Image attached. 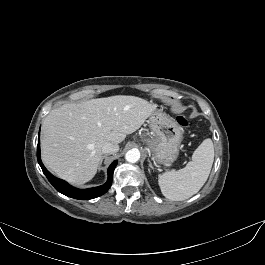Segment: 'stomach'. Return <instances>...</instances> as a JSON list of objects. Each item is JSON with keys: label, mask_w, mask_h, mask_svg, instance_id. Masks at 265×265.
Wrapping results in <instances>:
<instances>
[{"label": "stomach", "mask_w": 265, "mask_h": 265, "mask_svg": "<svg viewBox=\"0 0 265 265\" xmlns=\"http://www.w3.org/2000/svg\"><path fill=\"white\" fill-rule=\"evenodd\" d=\"M148 124L153 137L144 140L157 164H171L178 158L183 128L161 111H155Z\"/></svg>", "instance_id": "obj_1"}]
</instances>
